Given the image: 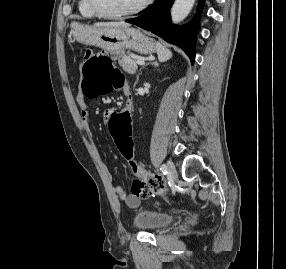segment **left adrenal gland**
Listing matches in <instances>:
<instances>
[{
    "label": "left adrenal gland",
    "mask_w": 286,
    "mask_h": 269,
    "mask_svg": "<svg viewBox=\"0 0 286 269\" xmlns=\"http://www.w3.org/2000/svg\"><path fill=\"white\" fill-rule=\"evenodd\" d=\"M148 64H152V65H154L155 67L158 66V62H157V61H153V62L148 63ZM148 64H147V65H148ZM140 74H141V73H139V74L137 75V80H136L135 84L138 83Z\"/></svg>",
    "instance_id": "a2214340"
}]
</instances>
